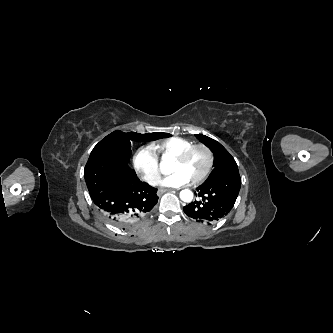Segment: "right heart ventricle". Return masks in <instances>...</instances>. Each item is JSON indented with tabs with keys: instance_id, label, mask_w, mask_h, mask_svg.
I'll list each match as a JSON object with an SVG mask.
<instances>
[{
	"instance_id": "right-heart-ventricle-1",
	"label": "right heart ventricle",
	"mask_w": 333,
	"mask_h": 333,
	"mask_svg": "<svg viewBox=\"0 0 333 333\" xmlns=\"http://www.w3.org/2000/svg\"><path fill=\"white\" fill-rule=\"evenodd\" d=\"M192 145L194 143L185 138L170 137L153 143L151 148L163 159H174L179 153Z\"/></svg>"
}]
</instances>
